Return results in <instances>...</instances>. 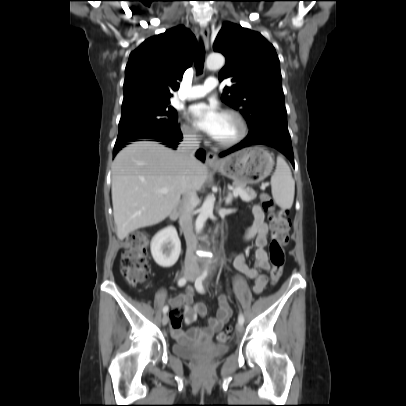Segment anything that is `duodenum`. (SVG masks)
Masks as SVG:
<instances>
[{
    "label": "duodenum",
    "mask_w": 406,
    "mask_h": 406,
    "mask_svg": "<svg viewBox=\"0 0 406 406\" xmlns=\"http://www.w3.org/2000/svg\"><path fill=\"white\" fill-rule=\"evenodd\" d=\"M179 214H180V211L178 209L174 210L171 213V215H170V217L168 219V222L173 223L174 221H176L178 219V217H179Z\"/></svg>",
    "instance_id": "1"
}]
</instances>
